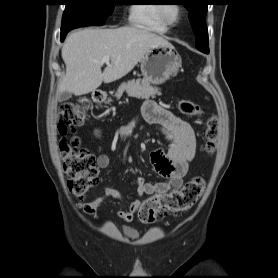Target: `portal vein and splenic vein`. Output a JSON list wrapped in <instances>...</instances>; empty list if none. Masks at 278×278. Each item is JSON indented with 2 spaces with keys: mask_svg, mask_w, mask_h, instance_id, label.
<instances>
[{
  "mask_svg": "<svg viewBox=\"0 0 278 278\" xmlns=\"http://www.w3.org/2000/svg\"><path fill=\"white\" fill-rule=\"evenodd\" d=\"M109 61H110L109 56H105V57L102 58L101 63H107V64H109Z\"/></svg>",
  "mask_w": 278,
  "mask_h": 278,
  "instance_id": "portal-vein-and-splenic-vein-1",
  "label": "portal vein and splenic vein"
}]
</instances>
